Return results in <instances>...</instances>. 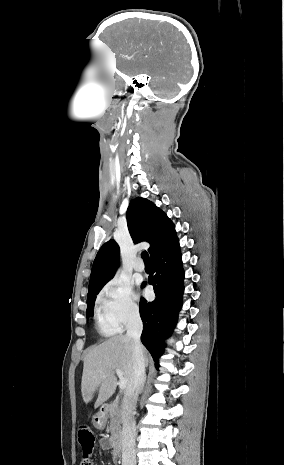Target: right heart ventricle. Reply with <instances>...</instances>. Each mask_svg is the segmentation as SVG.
I'll list each match as a JSON object with an SVG mask.
<instances>
[{
  "instance_id": "right-heart-ventricle-1",
  "label": "right heart ventricle",
  "mask_w": 284,
  "mask_h": 465,
  "mask_svg": "<svg viewBox=\"0 0 284 465\" xmlns=\"http://www.w3.org/2000/svg\"><path fill=\"white\" fill-rule=\"evenodd\" d=\"M95 328L100 335L106 336L113 335L117 330L109 316L100 308L95 313Z\"/></svg>"
}]
</instances>
